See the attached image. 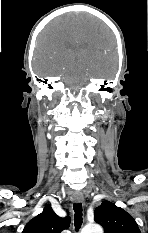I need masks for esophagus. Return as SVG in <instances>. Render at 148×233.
<instances>
[{
	"instance_id": "34e87169",
	"label": "esophagus",
	"mask_w": 148,
	"mask_h": 233,
	"mask_svg": "<svg viewBox=\"0 0 148 233\" xmlns=\"http://www.w3.org/2000/svg\"><path fill=\"white\" fill-rule=\"evenodd\" d=\"M72 200L73 202L75 203H82L84 202V196L82 193H74L73 196H72Z\"/></svg>"
}]
</instances>
